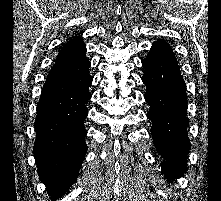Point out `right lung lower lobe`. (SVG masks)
<instances>
[{
  "label": "right lung lower lobe",
  "instance_id": "98d812e1",
  "mask_svg": "<svg viewBox=\"0 0 221 201\" xmlns=\"http://www.w3.org/2000/svg\"><path fill=\"white\" fill-rule=\"evenodd\" d=\"M90 61L55 64L49 71L35 120L34 157L52 201L76 181L87 151L84 120L91 98Z\"/></svg>",
  "mask_w": 221,
  "mask_h": 201
}]
</instances>
